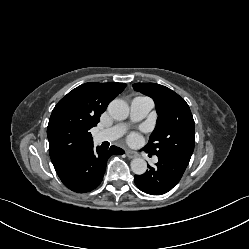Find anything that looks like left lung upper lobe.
Returning a JSON list of instances; mask_svg holds the SVG:
<instances>
[{
    "mask_svg": "<svg viewBox=\"0 0 249 249\" xmlns=\"http://www.w3.org/2000/svg\"><path fill=\"white\" fill-rule=\"evenodd\" d=\"M133 88L154 100L158 114L156 128L144 147L146 152L189 162L195 144V123L185 100L156 83H136Z\"/></svg>",
    "mask_w": 249,
    "mask_h": 249,
    "instance_id": "5c2ea615",
    "label": "left lung upper lobe"
}]
</instances>
